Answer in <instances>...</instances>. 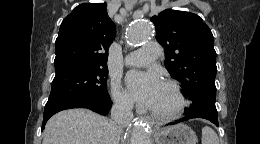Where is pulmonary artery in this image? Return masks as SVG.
I'll list each match as a JSON object with an SVG mask.
<instances>
[{
  "instance_id": "pulmonary-artery-1",
  "label": "pulmonary artery",
  "mask_w": 260,
  "mask_h": 144,
  "mask_svg": "<svg viewBox=\"0 0 260 144\" xmlns=\"http://www.w3.org/2000/svg\"><path fill=\"white\" fill-rule=\"evenodd\" d=\"M162 49L158 43H148L141 49L130 53L125 62L129 66L142 67L154 62L161 54Z\"/></svg>"
}]
</instances>
